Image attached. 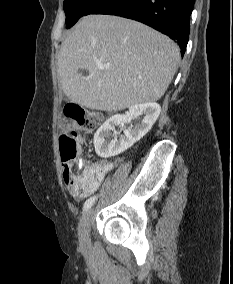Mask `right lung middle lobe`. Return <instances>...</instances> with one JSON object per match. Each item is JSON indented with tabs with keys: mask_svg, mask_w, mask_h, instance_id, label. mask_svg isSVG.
I'll return each instance as SVG.
<instances>
[{
	"mask_svg": "<svg viewBox=\"0 0 233 284\" xmlns=\"http://www.w3.org/2000/svg\"><path fill=\"white\" fill-rule=\"evenodd\" d=\"M107 0H65L63 8L66 14V26L72 27L82 16L91 14Z\"/></svg>",
	"mask_w": 233,
	"mask_h": 284,
	"instance_id": "dd1d6c3e",
	"label": "right lung middle lobe"
}]
</instances>
